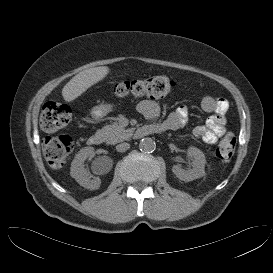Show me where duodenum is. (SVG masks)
<instances>
[{
    "label": "duodenum",
    "instance_id": "410a0bca",
    "mask_svg": "<svg viewBox=\"0 0 273 273\" xmlns=\"http://www.w3.org/2000/svg\"><path fill=\"white\" fill-rule=\"evenodd\" d=\"M168 130V126L163 122L149 123L141 125L136 129V135L143 137L147 134H161ZM105 141V135L101 132L92 134L88 143L93 146L101 145Z\"/></svg>",
    "mask_w": 273,
    "mask_h": 273
}]
</instances>
